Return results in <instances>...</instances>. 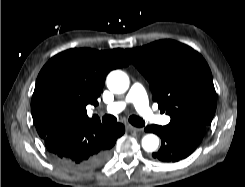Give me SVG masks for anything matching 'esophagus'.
<instances>
[{
  "label": "esophagus",
  "mask_w": 245,
  "mask_h": 187,
  "mask_svg": "<svg viewBox=\"0 0 245 187\" xmlns=\"http://www.w3.org/2000/svg\"><path fill=\"white\" fill-rule=\"evenodd\" d=\"M126 130L129 131V132H140L142 131L143 129L142 128H137V127H134L130 124H127L126 125Z\"/></svg>",
  "instance_id": "esophagus-1"
}]
</instances>
